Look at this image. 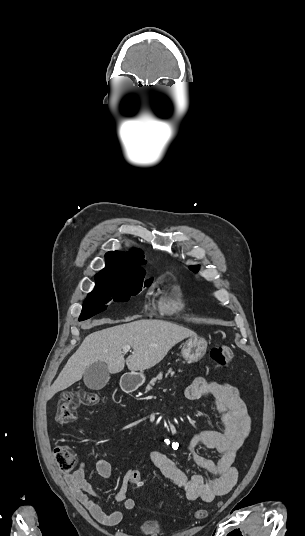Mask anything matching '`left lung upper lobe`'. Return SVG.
Returning a JSON list of instances; mask_svg holds the SVG:
<instances>
[{
	"label": "left lung upper lobe",
	"instance_id": "left-lung-upper-lobe-1",
	"mask_svg": "<svg viewBox=\"0 0 305 536\" xmlns=\"http://www.w3.org/2000/svg\"><path fill=\"white\" fill-rule=\"evenodd\" d=\"M190 269L194 272H197L198 271V266H192L190 267Z\"/></svg>",
	"mask_w": 305,
	"mask_h": 536
}]
</instances>
